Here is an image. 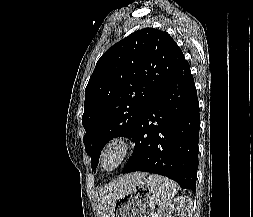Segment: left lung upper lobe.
<instances>
[{
  "label": "left lung upper lobe",
  "mask_w": 253,
  "mask_h": 217,
  "mask_svg": "<svg viewBox=\"0 0 253 217\" xmlns=\"http://www.w3.org/2000/svg\"><path fill=\"white\" fill-rule=\"evenodd\" d=\"M184 61L173 38L153 28L132 33L101 56L85 89L82 116L92 170L109 140L131 138L145 109Z\"/></svg>",
  "instance_id": "left-lung-upper-lobe-1"
}]
</instances>
